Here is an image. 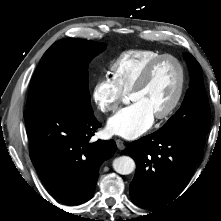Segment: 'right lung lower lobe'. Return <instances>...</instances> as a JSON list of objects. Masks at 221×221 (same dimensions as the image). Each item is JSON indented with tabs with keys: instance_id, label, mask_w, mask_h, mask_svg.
<instances>
[{
	"instance_id": "obj_1",
	"label": "right lung lower lobe",
	"mask_w": 221,
	"mask_h": 221,
	"mask_svg": "<svg viewBox=\"0 0 221 221\" xmlns=\"http://www.w3.org/2000/svg\"><path fill=\"white\" fill-rule=\"evenodd\" d=\"M30 158L47 189L67 204L89 200L100 165L116 150L114 140L90 139L101 124L93 114L42 105L24 113Z\"/></svg>"
}]
</instances>
